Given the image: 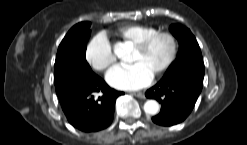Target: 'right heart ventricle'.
Wrapping results in <instances>:
<instances>
[{
    "instance_id": "obj_1",
    "label": "right heart ventricle",
    "mask_w": 247,
    "mask_h": 145,
    "mask_svg": "<svg viewBox=\"0 0 247 145\" xmlns=\"http://www.w3.org/2000/svg\"><path fill=\"white\" fill-rule=\"evenodd\" d=\"M158 31L155 26L145 24H128L119 27L114 35L125 43L136 45L150 34Z\"/></svg>"
}]
</instances>
